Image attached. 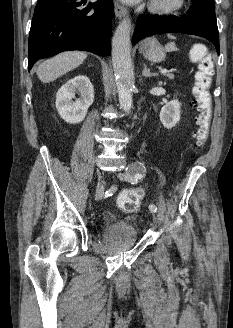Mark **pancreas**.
<instances>
[{"label":"pancreas","instance_id":"1","mask_svg":"<svg viewBox=\"0 0 233 328\" xmlns=\"http://www.w3.org/2000/svg\"><path fill=\"white\" fill-rule=\"evenodd\" d=\"M166 75L169 79L173 80L174 79V75L171 74V73H167V74H164Z\"/></svg>","mask_w":233,"mask_h":328}]
</instances>
